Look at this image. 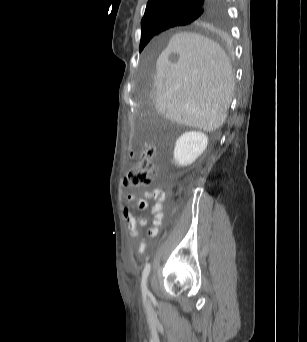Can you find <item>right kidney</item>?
Segmentation results:
<instances>
[{"label": "right kidney", "instance_id": "right-kidney-1", "mask_svg": "<svg viewBox=\"0 0 307 342\" xmlns=\"http://www.w3.org/2000/svg\"><path fill=\"white\" fill-rule=\"evenodd\" d=\"M208 146V136L202 132H185L176 142L173 156L178 168L193 164Z\"/></svg>", "mask_w": 307, "mask_h": 342}]
</instances>
